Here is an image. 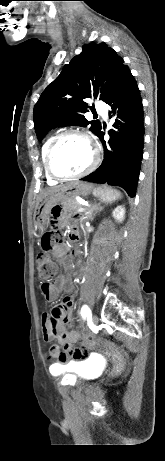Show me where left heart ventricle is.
I'll return each instance as SVG.
<instances>
[{
	"label": "left heart ventricle",
	"instance_id": "obj_1",
	"mask_svg": "<svg viewBox=\"0 0 165 461\" xmlns=\"http://www.w3.org/2000/svg\"><path fill=\"white\" fill-rule=\"evenodd\" d=\"M92 152L88 143L76 136L62 139L53 157V169L60 175H73L83 171L91 162Z\"/></svg>",
	"mask_w": 165,
	"mask_h": 461
}]
</instances>
